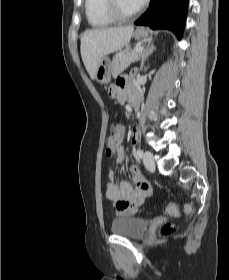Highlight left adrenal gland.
<instances>
[{
	"mask_svg": "<svg viewBox=\"0 0 229 280\" xmlns=\"http://www.w3.org/2000/svg\"><path fill=\"white\" fill-rule=\"evenodd\" d=\"M155 50V46L151 43L148 44L147 48L144 50L142 57H141V66H140V71L143 69L144 67V62L146 61V59L148 58L149 55H151L153 53V51Z\"/></svg>",
	"mask_w": 229,
	"mask_h": 280,
	"instance_id": "left-adrenal-gland-1",
	"label": "left adrenal gland"
}]
</instances>
